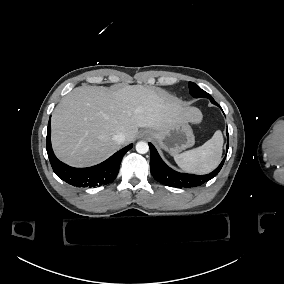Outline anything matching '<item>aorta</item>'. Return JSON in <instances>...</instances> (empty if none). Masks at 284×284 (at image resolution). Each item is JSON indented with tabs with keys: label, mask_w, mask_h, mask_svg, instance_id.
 Here are the masks:
<instances>
[{
	"label": "aorta",
	"mask_w": 284,
	"mask_h": 284,
	"mask_svg": "<svg viewBox=\"0 0 284 284\" xmlns=\"http://www.w3.org/2000/svg\"><path fill=\"white\" fill-rule=\"evenodd\" d=\"M136 151L140 154H145L149 151V146L146 142L140 141L136 144Z\"/></svg>",
	"instance_id": "obj_1"
}]
</instances>
